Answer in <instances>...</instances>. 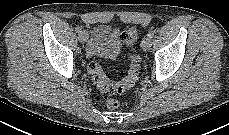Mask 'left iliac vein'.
Here are the masks:
<instances>
[{"mask_svg": "<svg viewBox=\"0 0 229 135\" xmlns=\"http://www.w3.org/2000/svg\"><path fill=\"white\" fill-rule=\"evenodd\" d=\"M152 46V41L150 37H144L141 41V47L143 50H149Z\"/></svg>", "mask_w": 229, "mask_h": 135, "instance_id": "obj_1", "label": "left iliac vein"}]
</instances>
